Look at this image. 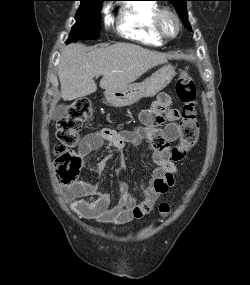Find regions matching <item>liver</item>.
Listing matches in <instances>:
<instances>
[{"label": "liver", "mask_w": 250, "mask_h": 285, "mask_svg": "<svg viewBox=\"0 0 250 285\" xmlns=\"http://www.w3.org/2000/svg\"><path fill=\"white\" fill-rule=\"evenodd\" d=\"M166 61L164 54L130 43L95 49L79 43L70 44L61 52L58 71L61 97L71 101L96 92L93 80L96 75H102V89L116 90Z\"/></svg>", "instance_id": "liver-1"}]
</instances>
